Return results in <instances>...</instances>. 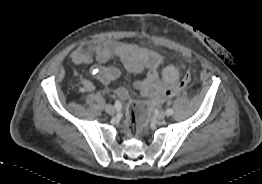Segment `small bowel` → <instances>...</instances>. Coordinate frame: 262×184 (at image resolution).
<instances>
[{
	"label": "small bowel",
	"instance_id": "c3829d8e",
	"mask_svg": "<svg viewBox=\"0 0 262 184\" xmlns=\"http://www.w3.org/2000/svg\"><path fill=\"white\" fill-rule=\"evenodd\" d=\"M69 59L79 65L88 68L90 74L100 82L109 84L115 81L120 71L115 66H105L111 61H120L123 67L130 73L139 74L146 72L143 79L136 80L134 87L146 96H156L173 87L181 77L179 67L169 65L161 72V55L145 47L124 43L100 41L73 50ZM96 64H93V61ZM93 83L86 78H81V91L91 92Z\"/></svg>",
	"mask_w": 262,
	"mask_h": 184
}]
</instances>
